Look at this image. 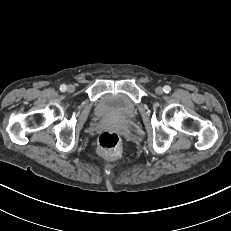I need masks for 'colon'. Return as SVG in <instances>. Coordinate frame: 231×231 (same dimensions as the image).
I'll use <instances>...</instances> for the list:
<instances>
[{
    "label": "colon",
    "mask_w": 231,
    "mask_h": 231,
    "mask_svg": "<svg viewBox=\"0 0 231 231\" xmlns=\"http://www.w3.org/2000/svg\"><path fill=\"white\" fill-rule=\"evenodd\" d=\"M120 145L121 139L117 133L105 131L98 138L97 150L104 156L114 157L118 155Z\"/></svg>",
    "instance_id": "1"
}]
</instances>
